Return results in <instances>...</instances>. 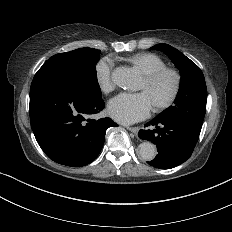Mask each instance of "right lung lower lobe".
Here are the masks:
<instances>
[{
    "label": "right lung lower lobe",
    "mask_w": 232,
    "mask_h": 232,
    "mask_svg": "<svg viewBox=\"0 0 232 232\" xmlns=\"http://www.w3.org/2000/svg\"><path fill=\"white\" fill-rule=\"evenodd\" d=\"M104 107L74 67L46 61L33 78L31 127L41 149L59 164L85 166L98 156L106 130L118 126L108 117L88 119Z\"/></svg>",
    "instance_id": "98d812e1"
}]
</instances>
